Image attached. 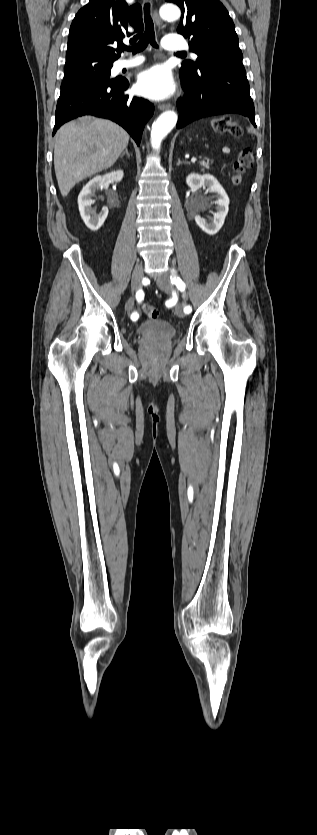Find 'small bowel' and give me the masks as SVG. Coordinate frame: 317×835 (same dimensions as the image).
<instances>
[{
    "label": "small bowel",
    "mask_w": 317,
    "mask_h": 835,
    "mask_svg": "<svg viewBox=\"0 0 317 835\" xmlns=\"http://www.w3.org/2000/svg\"><path fill=\"white\" fill-rule=\"evenodd\" d=\"M127 307L130 309L129 311H131V310L134 308V302H133V304H132V303H128V304H127ZM134 312H136V313H137V311H134ZM134 312H133V313H134ZM137 314H138V313H137Z\"/></svg>",
    "instance_id": "small-bowel-1"
}]
</instances>
